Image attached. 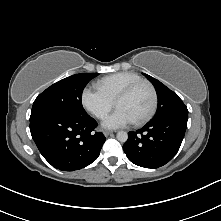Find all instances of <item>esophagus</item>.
<instances>
[{"label": "esophagus", "instance_id": "obj_1", "mask_svg": "<svg viewBox=\"0 0 221 221\" xmlns=\"http://www.w3.org/2000/svg\"><path fill=\"white\" fill-rule=\"evenodd\" d=\"M113 133V131H110V130H104V132H103V134L105 135V136H108V135H110V134H112Z\"/></svg>", "mask_w": 221, "mask_h": 221}]
</instances>
